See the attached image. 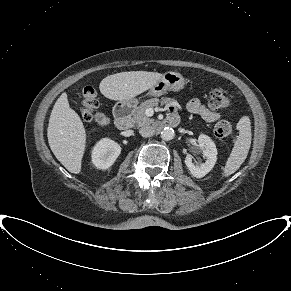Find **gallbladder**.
Returning a JSON list of instances; mask_svg holds the SVG:
<instances>
[{
    "label": "gallbladder",
    "mask_w": 291,
    "mask_h": 291,
    "mask_svg": "<svg viewBox=\"0 0 291 291\" xmlns=\"http://www.w3.org/2000/svg\"><path fill=\"white\" fill-rule=\"evenodd\" d=\"M94 119L98 124H103L108 121L107 116L102 112H96L94 114Z\"/></svg>",
    "instance_id": "gallbladder-1"
}]
</instances>
